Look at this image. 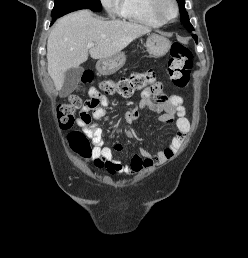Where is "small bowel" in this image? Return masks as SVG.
I'll list each match as a JSON object with an SVG mask.
<instances>
[{
	"instance_id": "1",
	"label": "small bowel",
	"mask_w": 248,
	"mask_h": 258,
	"mask_svg": "<svg viewBox=\"0 0 248 258\" xmlns=\"http://www.w3.org/2000/svg\"><path fill=\"white\" fill-rule=\"evenodd\" d=\"M151 95L152 92L149 89L142 91L140 102L136 108L128 112L127 121L135 122L140 116V110L148 107L152 111L160 113L158 120L161 123L171 124L175 122L176 133L169 146L157 154H152L148 150L140 148L138 154L132 157L129 164H123L114 157L111 150L103 148L102 129L92 124V119L99 120L106 115V107L109 101L97 88L91 87L89 89V98L83 102L79 110L77 126L82 128L94 141L93 158L98 167H105L111 173L138 174L147 168L171 160L181 148L190 128L185 108L182 105V97L179 95L165 97L157 94L156 100L153 101ZM115 150H121V145L116 144Z\"/></svg>"
}]
</instances>
